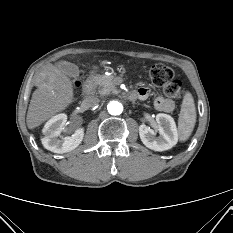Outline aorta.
<instances>
[{"instance_id":"obj_1","label":"aorta","mask_w":233,"mask_h":233,"mask_svg":"<svg viewBox=\"0 0 233 233\" xmlns=\"http://www.w3.org/2000/svg\"><path fill=\"white\" fill-rule=\"evenodd\" d=\"M107 110L111 115H120L123 111V106L118 101H110L107 105Z\"/></svg>"}]
</instances>
